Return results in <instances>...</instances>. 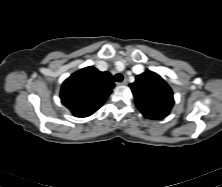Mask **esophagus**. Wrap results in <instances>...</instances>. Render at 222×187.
Masks as SVG:
<instances>
[{
	"mask_svg": "<svg viewBox=\"0 0 222 187\" xmlns=\"http://www.w3.org/2000/svg\"><path fill=\"white\" fill-rule=\"evenodd\" d=\"M126 84H127V80L126 79L123 80L122 82L117 83V85H119V86H123V85H126Z\"/></svg>",
	"mask_w": 222,
	"mask_h": 187,
	"instance_id": "obj_1",
	"label": "esophagus"
}]
</instances>
